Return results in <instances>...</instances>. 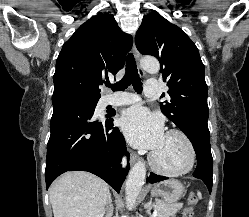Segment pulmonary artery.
<instances>
[{"mask_svg":"<svg viewBox=\"0 0 249 217\" xmlns=\"http://www.w3.org/2000/svg\"><path fill=\"white\" fill-rule=\"evenodd\" d=\"M144 93L149 98L157 97L160 94L159 83L157 81H146L144 85ZM139 100V97L136 94L132 93H121L113 96L109 100V104L119 106V105H128L133 104Z\"/></svg>","mask_w":249,"mask_h":217,"instance_id":"obj_1","label":"pulmonary artery"}]
</instances>
